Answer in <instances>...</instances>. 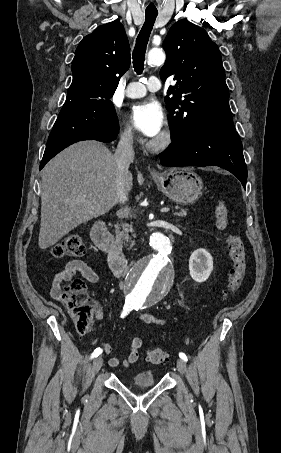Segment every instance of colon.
Wrapping results in <instances>:
<instances>
[{
	"label": "colon",
	"instance_id": "colon-1",
	"mask_svg": "<svg viewBox=\"0 0 281 453\" xmlns=\"http://www.w3.org/2000/svg\"><path fill=\"white\" fill-rule=\"evenodd\" d=\"M215 219L214 227L220 232L227 233L229 227V208L228 199L224 187L218 189L214 200ZM226 246L229 249L232 267L230 270V281L225 288L221 301L231 300L242 288L244 276L247 269V254L244 243L240 236L227 233L225 238ZM52 255L57 259L87 256L86 245L77 238H66L55 242L51 246ZM86 290V282L77 279L73 286L65 293V304L67 309L77 317V328L87 331L91 327V311L88 307L81 304L79 298ZM146 357L151 363H164L166 361L165 352L161 349H149Z\"/></svg>",
	"mask_w": 281,
	"mask_h": 453
}]
</instances>
